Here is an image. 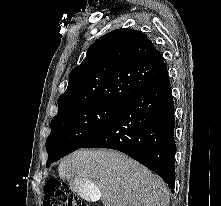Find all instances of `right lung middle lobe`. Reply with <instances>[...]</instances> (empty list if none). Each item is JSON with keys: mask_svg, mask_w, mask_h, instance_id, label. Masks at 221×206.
Instances as JSON below:
<instances>
[{"mask_svg": "<svg viewBox=\"0 0 221 206\" xmlns=\"http://www.w3.org/2000/svg\"><path fill=\"white\" fill-rule=\"evenodd\" d=\"M122 107L94 103L59 112L51 121V133L46 141V167L81 148L104 129L120 113Z\"/></svg>", "mask_w": 221, "mask_h": 206, "instance_id": "obj_1", "label": "right lung middle lobe"}]
</instances>
